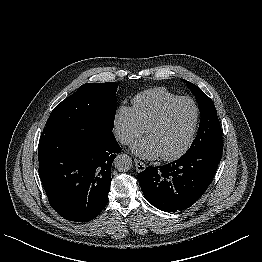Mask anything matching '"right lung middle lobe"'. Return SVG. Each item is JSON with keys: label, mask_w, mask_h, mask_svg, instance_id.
Returning a JSON list of instances; mask_svg holds the SVG:
<instances>
[{"label": "right lung middle lobe", "mask_w": 262, "mask_h": 262, "mask_svg": "<svg viewBox=\"0 0 262 262\" xmlns=\"http://www.w3.org/2000/svg\"><path fill=\"white\" fill-rule=\"evenodd\" d=\"M117 84L86 83L51 112L43 134L55 131L112 133Z\"/></svg>", "instance_id": "dd1d6c3e"}]
</instances>
